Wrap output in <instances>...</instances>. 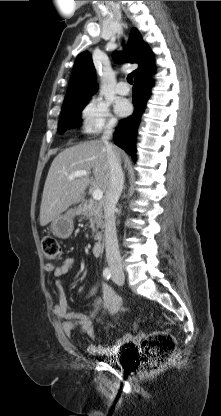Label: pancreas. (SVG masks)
<instances>
[{
    "mask_svg": "<svg viewBox=\"0 0 221 416\" xmlns=\"http://www.w3.org/2000/svg\"><path fill=\"white\" fill-rule=\"evenodd\" d=\"M77 215L80 216V220H89V227L95 233L94 238L100 239L101 233L98 229L103 228L102 205L96 201H88L77 209Z\"/></svg>",
    "mask_w": 221,
    "mask_h": 416,
    "instance_id": "obj_1",
    "label": "pancreas"
}]
</instances>
